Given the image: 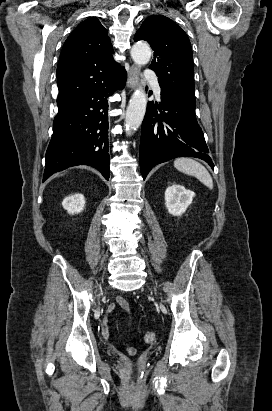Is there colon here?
<instances>
[{"mask_svg":"<svg viewBox=\"0 0 272 411\" xmlns=\"http://www.w3.org/2000/svg\"><path fill=\"white\" fill-rule=\"evenodd\" d=\"M156 339V334L153 331H148L144 334V341L146 343H152Z\"/></svg>","mask_w":272,"mask_h":411,"instance_id":"colon-1","label":"colon"}]
</instances>
